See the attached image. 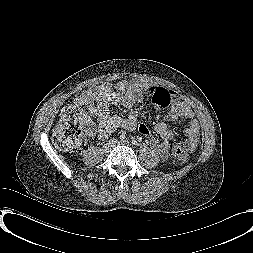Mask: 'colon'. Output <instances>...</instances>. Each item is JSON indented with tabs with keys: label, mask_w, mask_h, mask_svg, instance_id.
<instances>
[{
	"label": "colon",
	"mask_w": 253,
	"mask_h": 253,
	"mask_svg": "<svg viewBox=\"0 0 253 253\" xmlns=\"http://www.w3.org/2000/svg\"><path fill=\"white\" fill-rule=\"evenodd\" d=\"M89 132L86 116L81 111L68 107L54 131L53 141L63 150H72L81 144ZM172 154L181 162L187 160V152L178 144L172 147Z\"/></svg>",
	"instance_id": "1"
}]
</instances>
